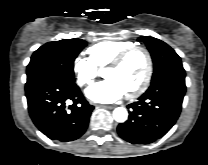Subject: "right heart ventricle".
Returning a JSON list of instances; mask_svg holds the SVG:
<instances>
[{
    "instance_id": "e07e8e85",
    "label": "right heart ventricle",
    "mask_w": 208,
    "mask_h": 165,
    "mask_svg": "<svg viewBox=\"0 0 208 165\" xmlns=\"http://www.w3.org/2000/svg\"><path fill=\"white\" fill-rule=\"evenodd\" d=\"M131 46H134V43L126 40H103L90 46L87 52L96 66L103 67L121 51Z\"/></svg>"
}]
</instances>
